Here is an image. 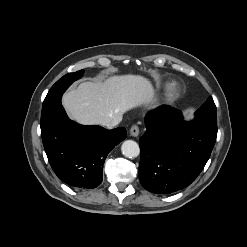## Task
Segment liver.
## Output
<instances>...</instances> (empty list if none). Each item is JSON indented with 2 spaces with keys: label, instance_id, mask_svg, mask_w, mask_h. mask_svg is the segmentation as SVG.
I'll use <instances>...</instances> for the list:
<instances>
[{
  "label": "liver",
  "instance_id": "1",
  "mask_svg": "<svg viewBox=\"0 0 247 247\" xmlns=\"http://www.w3.org/2000/svg\"><path fill=\"white\" fill-rule=\"evenodd\" d=\"M155 91L141 75L112 76L83 82L63 95L69 117L83 125H107L133 108L153 103Z\"/></svg>",
  "mask_w": 247,
  "mask_h": 247
}]
</instances>
